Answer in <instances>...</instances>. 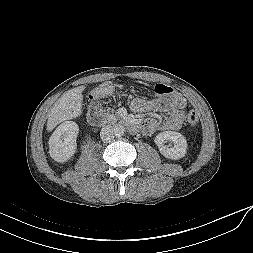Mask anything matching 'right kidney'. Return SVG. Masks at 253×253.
Masks as SVG:
<instances>
[{
  "instance_id": "1",
  "label": "right kidney",
  "mask_w": 253,
  "mask_h": 253,
  "mask_svg": "<svg viewBox=\"0 0 253 253\" xmlns=\"http://www.w3.org/2000/svg\"><path fill=\"white\" fill-rule=\"evenodd\" d=\"M78 126L74 122L62 123L49 139V153L56 162L64 163L70 160L77 149L76 138Z\"/></svg>"
}]
</instances>
